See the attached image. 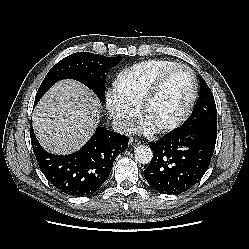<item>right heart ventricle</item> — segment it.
I'll return each instance as SVG.
<instances>
[{
    "label": "right heart ventricle",
    "mask_w": 249,
    "mask_h": 249,
    "mask_svg": "<svg viewBox=\"0 0 249 249\" xmlns=\"http://www.w3.org/2000/svg\"><path fill=\"white\" fill-rule=\"evenodd\" d=\"M178 63L168 59H152L121 71L113 82V95L138 110L139 105L157 77Z\"/></svg>",
    "instance_id": "e07e8e85"
}]
</instances>
